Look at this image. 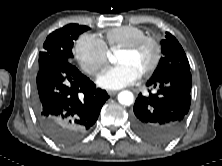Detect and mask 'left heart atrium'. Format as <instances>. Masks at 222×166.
<instances>
[{"label": "left heart atrium", "mask_w": 222, "mask_h": 166, "mask_svg": "<svg viewBox=\"0 0 222 166\" xmlns=\"http://www.w3.org/2000/svg\"><path fill=\"white\" fill-rule=\"evenodd\" d=\"M139 71L126 63H120L106 68L97 78V84L108 90L120 89L136 82Z\"/></svg>", "instance_id": "39dd6f15"}]
</instances>
